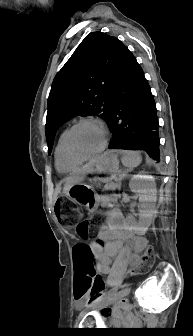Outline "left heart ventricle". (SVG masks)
<instances>
[{
  "label": "left heart ventricle",
  "instance_id": "obj_1",
  "mask_svg": "<svg viewBox=\"0 0 193 336\" xmlns=\"http://www.w3.org/2000/svg\"><path fill=\"white\" fill-rule=\"evenodd\" d=\"M104 141L102 130L95 124L85 123L77 127L71 135V146L80 154L97 151Z\"/></svg>",
  "mask_w": 193,
  "mask_h": 336
}]
</instances>
